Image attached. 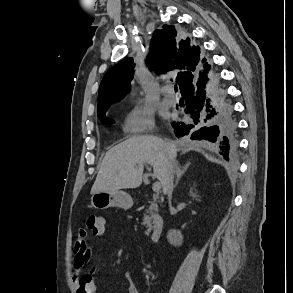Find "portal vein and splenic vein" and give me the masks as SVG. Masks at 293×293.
<instances>
[{"label": "portal vein and splenic vein", "mask_w": 293, "mask_h": 293, "mask_svg": "<svg viewBox=\"0 0 293 293\" xmlns=\"http://www.w3.org/2000/svg\"><path fill=\"white\" fill-rule=\"evenodd\" d=\"M152 189H153L154 192H158L161 189V183L160 182H155L153 184Z\"/></svg>", "instance_id": "1"}]
</instances>
